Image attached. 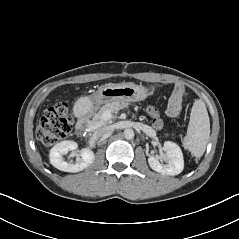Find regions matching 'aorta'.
<instances>
[{
  "instance_id": "1",
  "label": "aorta",
  "mask_w": 239,
  "mask_h": 239,
  "mask_svg": "<svg viewBox=\"0 0 239 239\" xmlns=\"http://www.w3.org/2000/svg\"><path fill=\"white\" fill-rule=\"evenodd\" d=\"M124 137L126 139H133L134 138V131H133V129H125L124 130Z\"/></svg>"
}]
</instances>
